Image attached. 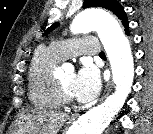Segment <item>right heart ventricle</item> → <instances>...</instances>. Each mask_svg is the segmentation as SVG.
Masks as SVG:
<instances>
[{"mask_svg": "<svg viewBox=\"0 0 153 134\" xmlns=\"http://www.w3.org/2000/svg\"><path fill=\"white\" fill-rule=\"evenodd\" d=\"M60 61L50 48L39 47L35 50L28 71L29 98L34 105L50 109L62 105L53 75Z\"/></svg>", "mask_w": 153, "mask_h": 134, "instance_id": "right-heart-ventricle-1", "label": "right heart ventricle"}]
</instances>
